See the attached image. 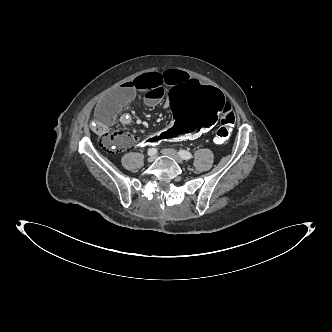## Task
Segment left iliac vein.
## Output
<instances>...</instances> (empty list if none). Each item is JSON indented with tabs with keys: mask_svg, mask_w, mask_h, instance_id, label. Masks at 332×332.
Returning <instances> with one entry per match:
<instances>
[{
	"mask_svg": "<svg viewBox=\"0 0 332 332\" xmlns=\"http://www.w3.org/2000/svg\"><path fill=\"white\" fill-rule=\"evenodd\" d=\"M162 154L167 156V157H170L172 159H174L176 162H178L179 164H183L184 161L183 159L180 157V155L178 154L177 151H175L174 149H163L162 150Z\"/></svg>",
	"mask_w": 332,
	"mask_h": 332,
	"instance_id": "obj_1",
	"label": "left iliac vein"
}]
</instances>
